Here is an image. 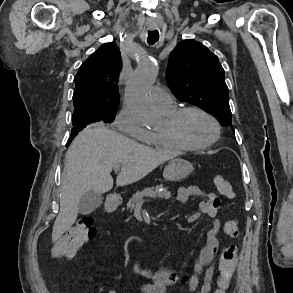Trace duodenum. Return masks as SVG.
<instances>
[{"mask_svg":"<svg viewBox=\"0 0 293 293\" xmlns=\"http://www.w3.org/2000/svg\"><path fill=\"white\" fill-rule=\"evenodd\" d=\"M120 203V198L118 196H112L110 200L107 202L106 208L108 212H113V210Z\"/></svg>","mask_w":293,"mask_h":293,"instance_id":"duodenum-1","label":"duodenum"}]
</instances>
